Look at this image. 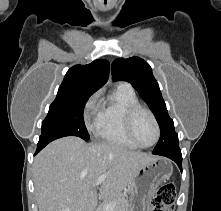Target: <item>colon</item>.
I'll return each instance as SVG.
<instances>
[{
    "instance_id": "obj_1",
    "label": "colon",
    "mask_w": 221,
    "mask_h": 211,
    "mask_svg": "<svg viewBox=\"0 0 221 211\" xmlns=\"http://www.w3.org/2000/svg\"><path fill=\"white\" fill-rule=\"evenodd\" d=\"M176 191L173 183H164L152 201L153 211H173Z\"/></svg>"
}]
</instances>
